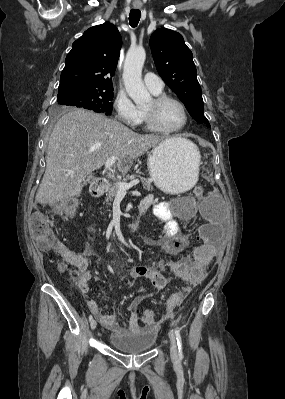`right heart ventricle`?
<instances>
[{"label": "right heart ventricle", "instance_id": "right-heart-ventricle-1", "mask_svg": "<svg viewBox=\"0 0 285 399\" xmlns=\"http://www.w3.org/2000/svg\"><path fill=\"white\" fill-rule=\"evenodd\" d=\"M160 93H161V91H160V92H157V93H153V94L159 95ZM141 112H142V111H141ZM141 122H146V120H145V115H144L143 112H142V114H141ZM146 128L149 129V130H151L147 124H146Z\"/></svg>", "mask_w": 285, "mask_h": 399}]
</instances>
